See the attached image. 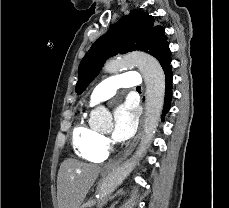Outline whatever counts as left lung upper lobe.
<instances>
[{
	"mask_svg": "<svg viewBox=\"0 0 229 208\" xmlns=\"http://www.w3.org/2000/svg\"><path fill=\"white\" fill-rule=\"evenodd\" d=\"M154 17L143 11H132L101 36L82 59L78 69L76 92L81 94L97 76L105 60L117 53L144 51L163 66L171 59L164 27L154 24Z\"/></svg>",
	"mask_w": 229,
	"mask_h": 208,
	"instance_id": "1",
	"label": "left lung upper lobe"
}]
</instances>
